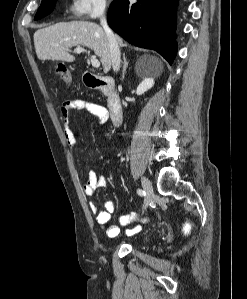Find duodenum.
Returning <instances> with one entry per match:
<instances>
[{
  "mask_svg": "<svg viewBox=\"0 0 247 299\" xmlns=\"http://www.w3.org/2000/svg\"><path fill=\"white\" fill-rule=\"evenodd\" d=\"M86 86L91 89H102L107 92V102L110 112V119L114 125H119L122 121V102L120 97L113 91L114 81L110 77L98 76L90 72L84 75Z\"/></svg>",
  "mask_w": 247,
  "mask_h": 299,
  "instance_id": "duodenum-1",
  "label": "duodenum"
}]
</instances>
